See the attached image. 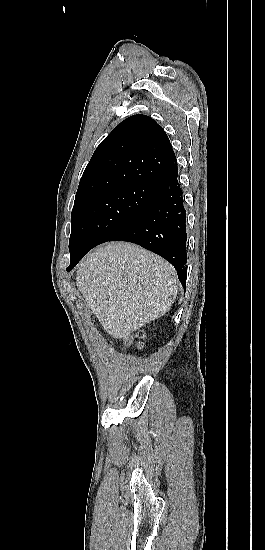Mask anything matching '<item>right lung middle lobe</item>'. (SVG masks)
I'll list each match as a JSON object with an SVG mask.
<instances>
[{"instance_id":"dd1d6c3e","label":"right lung middle lobe","mask_w":265,"mask_h":550,"mask_svg":"<svg viewBox=\"0 0 265 550\" xmlns=\"http://www.w3.org/2000/svg\"><path fill=\"white\" fill-rule=\"evenodd\" d=\"M158 185H137L104 192L74 203L69 239L73 267L93 247L127 228L150 203Z\"/></svg>"}]
</instances>
